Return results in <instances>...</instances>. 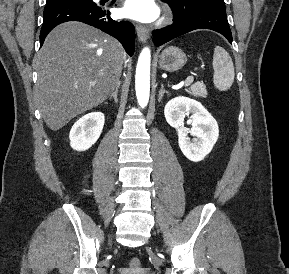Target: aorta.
Returning <instances> with one entry per match:
<instances>
[{
  "instance_id": "762f6f07",
  "label": "aorta",
  "mask_w": 289,
  "mask_h": 274,
  "mask_svg": "<svg viewBox=\"0 0 289 274\" xmlns=\"http://www.w3.org/2000/svg\"><path fill=\"white\" fill-rule=\"evenodd\" d=\"M150 65L151 51L146 47L138 58L135 77L137 101L142 108L147 106L150 96Z\"/></svg>"
}]
</instances>
